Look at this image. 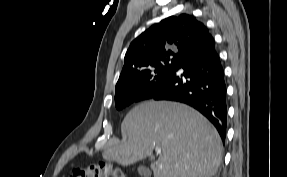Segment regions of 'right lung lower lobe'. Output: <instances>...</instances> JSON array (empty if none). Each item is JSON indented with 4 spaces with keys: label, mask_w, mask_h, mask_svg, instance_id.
<instances>
[{
    "label": "right lung lower lobe",
    "mask_w": 287,
    "mask_h": 177,
    "mask_svg": "<svg viewBox=\"0 0 287 177\" xmlns=\"http://www.w3.org/2000/svg\"><path fill=\"white\" fill-rule=\"evenodd\" d=\"M171 100L201 112L226 137V84L214 38L208 29L194 39L178 58L177 66L138 98Z\"/></svg>",
    "instance_id": "right-lung-lower-lobe-1"
}]
</instances>
